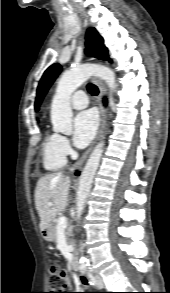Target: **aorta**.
I'll return each mask as SVG.
<instances>
[{"label":"aorta","instance_id":"1","mask_svg":"<svg viewBox=\"0 0 170 293\" xmlns=\"http://www.w3.org/2000/svg\"><path fill=\"white\" fill-rule=\"evenodd\" d=\"M90 76L100 77L112 90L116 87L114 72L109 67L103 65L88 64L63 73L51 104V122L55 132L66 135L72 133L73 113L70 106V97ZM103 146V141L96 145L80 175L76 197L77 219L81 217L84 210L86 199L90 193L93 179L103 154ZM80 265L81 267H87L88 260L82 257L80 259Z\"/></svg>","mask_w":170,"mask_h":293}]
</instances>
